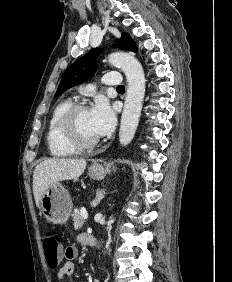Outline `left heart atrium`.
<instances>
[{
    "label": "left heart atrium",
    "instance_id": "left-heart-atrium-1",
    "mask_svg": "<svg viewBox=\"0 0 232 282\" xmlns=\"http://www.w3.org/2000/svg\"><path fill=\"white\" fill-rule=\"evenodd\" d=\"M89 111L93 129L98 136H106L113 131L116 115L106 99H97Z\"/></svg>",
    "mask_w": 232,
    "mask_h": 282
}]
</instances>
